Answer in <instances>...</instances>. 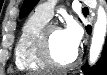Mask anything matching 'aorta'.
Segmentation results:
<instances>
[{"label":"aorta","instance_id":"aorta-1","mask_svg":"<svg viewBox=\"0 0 107 75\" xmlns=\"http://www.w3.org/2000/svg\"><path fill=\"white\" fill-rule=\"evenodd\" d=\"M105 1H100L97 12V19L93 29L92 41L89 50V62L94 64L103 48L107 32V14L104 8Z\"/></svg>","mask_w":107,"mask_h":75}]
</instances>
